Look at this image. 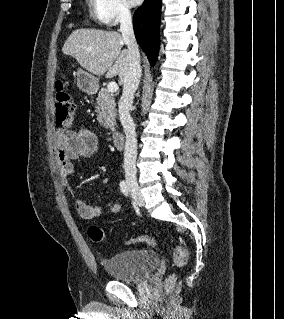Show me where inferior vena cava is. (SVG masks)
<instances>
[{
	"mask_svg": "<svg viewBox=\"0 0 284 319\" xmlns=\"http://www.w3.org/2000/svg\"><path fill=\"white\" fill-rule=\"evenodd\" d=\"M120 32L128 47L129 67L123 79V93L119 100V118L126 136L124 151V169L135 171L137 156V140L135 125L130 116V108L133 103L134 93L140 83L142 70L140 67V53L135 39L132 17L128 9L120 11Z\"/></svg>",
	"mask_w": 284,
	"mask_h": 319,
	"instance_id": "1",
	"label": "inferior vena cava"
}]
</instances>
